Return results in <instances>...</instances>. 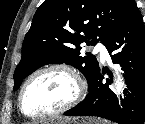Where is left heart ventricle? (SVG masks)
I'll return each instance as SVG.
<instances>
[{
	"mask_svg": "<svg viewBox=\"0 0 145 124\" xmlns=\"http://www.w3.org/2000/svg\"><path fill=\"white\" fill-rule=\"evenodd\" d=\"M76 92V83L62 71H49L36 77L23 96L27 113H44L67 103Z\"/></svg>",
	"mask_w": 145,
	"mask_h": 124,
	"instance_id": "b2bd125f",
	"label": "left heart ventricle"
}]
</instances>
